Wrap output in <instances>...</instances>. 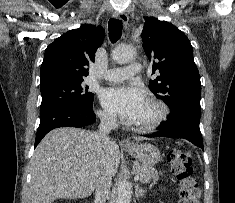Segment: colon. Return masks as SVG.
Instances as JSON below:
<instances>
[{
	"mask_svg": "<svg viewBox=\"0 0 235 203\" xmlns=\"http://www.w3.org/2000/svg\"><path fill=\"white\" fill-rule=\"evenodd\" d=\"M172 173L176 176L180 188V203H199L200 190L193 176L191 156L188 152L174 149L168 154Z\"/></svg>",
	"mask_w": 235,
	"mask_h": 203,
	"instance_id": "colon-1",
	"label": "colon"
}]
</instances>
